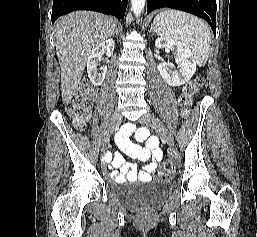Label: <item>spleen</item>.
Returning a JSON list of instances; mask_svg holds the SVG:
<instances>
[{"label":"spleen","instance_id":"spleen-1","mask_svg":"<svg viewBox=\"0 0 257 237\" xmlns=\"http://www.w3.org/2000/svg\"><path fill=\"white\" fill-rule=\"evenodd\" d=\"M153 28L161 38L177 40L187 45L199 66L206 64L211 32L204 21L181 11L165 10L154 18Z\"/></svg>","mask_w":257,"mask_h":237}]
</instances>
